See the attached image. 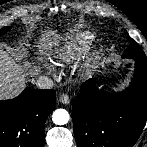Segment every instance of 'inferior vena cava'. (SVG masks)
Here are the masks:
<instances>
[{
  "mask_svg": "<svg viewBox=\"0 0 147 147\" xmlns=\"http://www.w3.org/2000/svg\"><path fill=\"white\" fill-rule=\"evenodd\" d=\"M35 84L40 89H51L54 85L52 79L47 76H39Z\"/></svg>",
  "mask_w": 147,
  "mask_h": 147,
  "instance_id": "1",
  "label": "inferior vena cava"
}]
</instances>
